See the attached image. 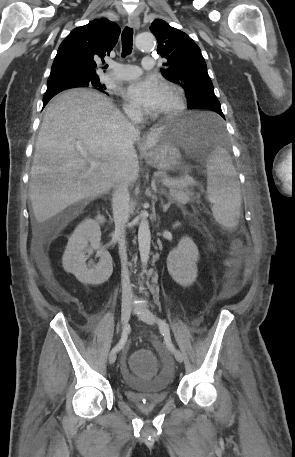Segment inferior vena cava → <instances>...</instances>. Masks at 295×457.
<instances>
[{
	"mask_svg": "<svg viewBox=\"0 0 295 457\" xmlns=\"http://www.w3.org/2000/svg\"><path fill=\"white\" fill-rule=\"evenodd\" d=\"M126 113L134 124H137L141 119V114L138 110L133 109L127 111ZM128 187L129 184L126 179L122 176L118 177L116 179L112 199L113 218L122 264V296L124 298L133 297L132 286L130 284V278L127 269V254L125 245V224L128 222L130 212Z\"/></svg>",
	"mask_w": 295,
	"mask_h": 457,
	"instance_id": "obj_1",
	"label": "inferior vena cava"
}]
</instances>
